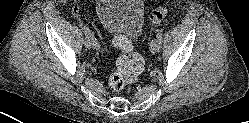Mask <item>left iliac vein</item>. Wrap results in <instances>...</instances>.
<instances>
[{"mask_svg": "<svg viewBox=\"0 0 249 123\" xmlns=\"http://www.w3.org/2000/svg\"><path fill=\"white\" fill-rule=\"evenodd\" d=\"M150 51L153 54L159 51L158 39L152 40V42L150 43Z\"/></svg>", "mask_w": 249, "mask_h": 123, "instance_id": "obj_1", "label": "left iliac vein"}]
</instances>
